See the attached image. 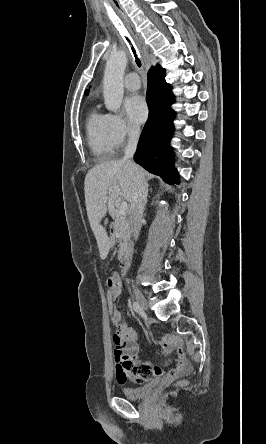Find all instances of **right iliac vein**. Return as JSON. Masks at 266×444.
I'll return each mask as SVG.
<instances>
[{"label":"right iliac vein","mask_w":266,"mask_h":444,"mask_svg":"<svg viewBox=\"0 0 266 444\" xmlns=\"http://www.w3.org/2000/svg\"><path fill=\"white\" fill-rule=\"evenodd\" d=\"M133 292H134L136 301H137L138 305L140 306L141 310L146 311L147 310V301H146L144 295L137 288H134Z\"/></svg>","instance_id":"1"}]
</instances>
